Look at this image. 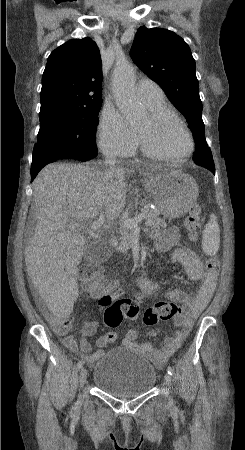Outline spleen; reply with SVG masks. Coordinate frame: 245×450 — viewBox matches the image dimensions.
<instances>
[{
  "label": "spleen",
  "instance_id": "spleen-1",
  "mask_svg": "<svg viewBox=\"0 0 245 450\" xmlns=\"http://www.w3.org/2000/svg\"><path fill=\"white\" fill-rule=\"evenodd\" d=\"M220 245V229L215 214L210 215V220L205 225L202 235V249L209 255L217 253Z\"/></svg>",
  "mask_w": 245,
  "mask_h": 450
}]
</instances>
